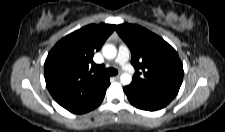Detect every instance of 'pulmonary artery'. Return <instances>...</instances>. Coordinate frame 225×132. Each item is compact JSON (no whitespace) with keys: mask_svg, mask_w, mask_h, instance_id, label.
<instances>
[{"mask_svg":"<svg viewBox=\"0 0 225 132\" xmlns=\"http://www.w3.org/2000/svg\"><path fill=\"white\" fill-rule=\"evenodd\" d=\"M129 59V51L125 45H120L118 49V56L116 58V62L123 66L124 69L130 70V66L128 64Z\"/></svg>","mask_w":225,"mask_h":132,"instance_id":"pulmonary-artery-1","label":"pulmonary artery"}]
</instances>
